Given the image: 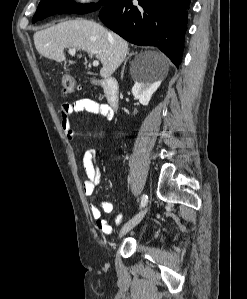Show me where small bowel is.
<instances>
[{"label":"small bowel","instance_id":"c3829d8e","mask_svg":"<svg viewBox=\"0 0 247 299\" xmlns=\"http://www.w3.org/2000/svg\"><path fill=\"white\" fill-rule=\"evenodd\" d=\"M88 112L93 115L101 116L110 120L113 116L111 108L104 103L97 102L90 98H81L71 102H65L61 107V125L65 136L69 140H74L75 130L71 125V118L74 113ZM96 151L91 149L84 153L83 167L86 173V180L83 183V193L86 196L93 195L96 186L102 181V176L95 164ZM114 210V205L110 201H102L100 207L95 205L90 206V214L95 220L96 227L99 231L105 234L113 233L114 229L109 224L108 220L103 217L102 213H111ZM124 217L121 213L115 216V223L121 224Z\"/></svg>","mask_w":247,"mask_h":299}]
</instances>
